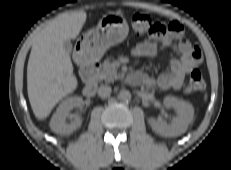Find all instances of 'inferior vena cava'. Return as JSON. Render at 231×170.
I'll list each match as a JSON object with an SVG mask.
<instances>
[{"mask_svg":"<svg viewBox=\"0 0 231 170\" xmlns=\"http://www.w3.org/2000/svg\"><path fill=\"white\" fill-rule=\"evenodd\" d=\"M111 87L110 86H107V85H101L99 88H98V95L102 98H106V97H109L110 94H111Z\"/></svg>","mask_w":231,"mask_h":170,"instance_id":"inferior-vena-cava-1","label":"inferior vena cava"}]
</instances>
